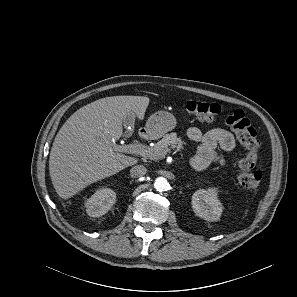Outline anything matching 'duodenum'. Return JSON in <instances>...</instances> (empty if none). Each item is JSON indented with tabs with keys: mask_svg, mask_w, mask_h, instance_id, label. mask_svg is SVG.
Segmentation results:
<instances>
[{
	"mask_svg": "<svg viewBox=\"0 0 297 297\" xmlns=\"http://www.w3.org/2000/svg\"><path fill=\"white\" fill-rule=\"evenodd\" d=\"M150 136H151V132L146 129H141L138 132V137L143 141L148 140Z\"/></svg>",
	"mask_w": 297,
	"mask_h": 297,
	"instance_id": "duodenum-1",
	"label": "duodenum"
}]
</instances>
